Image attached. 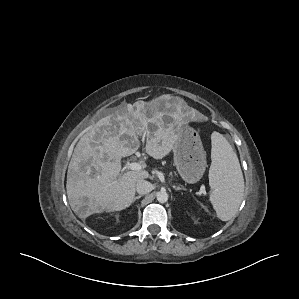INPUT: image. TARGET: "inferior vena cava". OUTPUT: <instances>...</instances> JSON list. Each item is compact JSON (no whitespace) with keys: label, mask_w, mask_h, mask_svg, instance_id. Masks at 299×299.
<instances>
[{"label":"inferior vena cava","mask_w":299,"mask_h":299,"mask_svg":"<svg viewBox=\"0 0 299 299\" xmlns=\"http://www.w3.org/2000/svg\"><path fill=\"white\" fill-rule=\"evenodd\" d=\"M153 189H154V186L150 182H148L144 179L138 180L136 183V191L140 195L148 194Z\"/></svg>","instance_id":"inferior-vena-cava-1"}]
</instances>
